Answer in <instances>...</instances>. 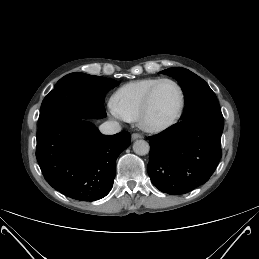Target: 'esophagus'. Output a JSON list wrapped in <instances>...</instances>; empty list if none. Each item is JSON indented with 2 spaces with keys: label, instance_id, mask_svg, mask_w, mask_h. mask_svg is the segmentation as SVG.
<instances>
[{
  "label": "esophagus",
  "instance_id": "1",
  "mask_svg": "<svg viewBox=\"0 0 259 259\" xmlns=\"http://www.w3.org/2000/svg\"><path fill=\"white\" fill-rule=\"evenodd\" d=\"M142 137H143V136H142L141 134H139V133H133L132 136H131V138H132L133 141H135V140H137V139H140V138H142Z\"/></svg>",
  "mask_w": 259,
  "mask_h": 259
}]
</instances>
